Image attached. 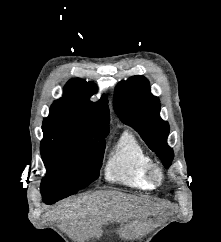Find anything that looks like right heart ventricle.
Listing matches in <instances>:
<instances>
[{
    "label": "right heart ventricle",
    "instance_id": "right-heart-ventricle-1",
    "mask_svg": "<svg viewBox=\"0 0 221 242\" xmlns=\"http://www.w3.org/2000/svg\"><path fill=\"white\" fill-rule=\"evenodd\" d=\"M151 161L149 152L137 137L124 131L109 154L105 179L140 191L151 190L145 172Z\"/></svg>",
    "mask_w": 221,
    "mask_h": 242
}]
</instances>
